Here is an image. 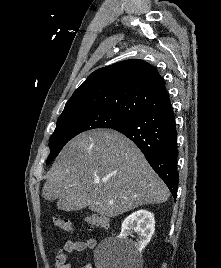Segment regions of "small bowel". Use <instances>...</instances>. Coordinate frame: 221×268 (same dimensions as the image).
Masks as SVG:
<instances>
[{"mask_svg": "<svg viewBox=\"0 0 221 268\" xmlns=\"http://www.w3.org/2000/svg\"><path fill=\"white\" fill-rule=\"evenodd\" d=\"M96 244L97 242L93 238L86 241L68 240L56 253L55 268H72V265L69 262V255L73 252H81L87 249L92 250L96 247ZM82 268H93V265L87 263Z\"/></svg>", "mask_w": 221, "mask_h": 268, "instance_id": "c3829d8e", "label": "small bowel"}]
</instances>
